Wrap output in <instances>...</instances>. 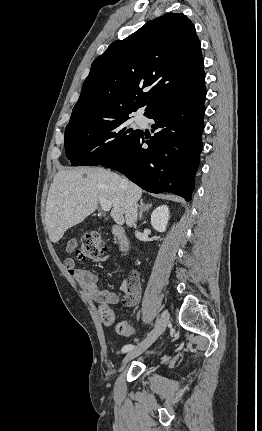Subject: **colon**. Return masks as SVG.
<instances>
[{
	"label": "colon",
	"mask_w": 262,
	"mask_h": 431,
	"mask_svg": "<svg viewBox=\"0 0 262 431\" xmlns=\"http://www.w3.org/2000/svg\"><path fill=\"white\" fill-rule=\"evenodd\" d=\"M66 250L75 254L79 261H93L102 256L106 250V244L100 240L96 233L87 235L81 239H70L67 243ZM104 323H113L114 319L108 315H100ZM116 332L120 335L128 336L132 333V328L126 322L116 324Z\"/></svg>",
	"instance_id": "colon-1"
}]
</instances>
